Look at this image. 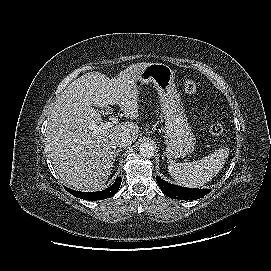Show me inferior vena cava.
<instances>
[{"label": "inferior vena cava", "mask_w": 271, "mask_h": 271, "mask_svg": "<svg viewBox=\"0 0 271 271\" xmlns=\"http://www.w3.org/2000/svg\"><path fill=\"white\" fill-rule=\"evenodd\" d=\"M114 144L117 147L126 148L132 144V138L127 133H121L114 138Z\"/></svg>", "instance_id": "602c4592"}]
</instances>
